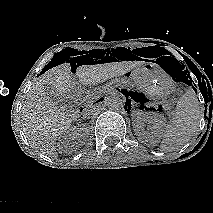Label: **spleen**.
<instances>
[{
	"label": "spleen",
	"mask_w": 213,
	"mask_h": 213,
	"mask_svg": "<svg viewBox=\"0 0 213 213\" xmlns=\"http://www.w3.org/2000/svg\"><path fill=\"white\" fill-rule=\"evenodd\" d=\"M202 117V107L197 95L189 88L178 100L174 117L165 128L161 151H172L184 146L195 135Z\"/></svg>",
	"instance_id": "spleen-1"
}]
</instances>
